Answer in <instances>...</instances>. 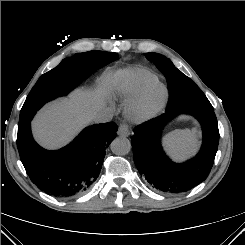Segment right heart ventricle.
Returning a JSON list of instances; mask_svg holds the SVG:
<instances>
[{
  "label": "right heart ventricle",
  "instance_id": "1",
  "mask_svg": "<svg viewBox=\"0 0 245 245\" xmlns=\"http://www.w3.org/2000/svg\"><path fill=\"white\" fill-rule=\"evenodd\" d=\"M157 81V76L145 68H133L124 72L118 83V94L126 101L135 99L149 83Z\"/></svg>",
  "mask_w": 245,
  "mask_h": 245
}]
</instances>
